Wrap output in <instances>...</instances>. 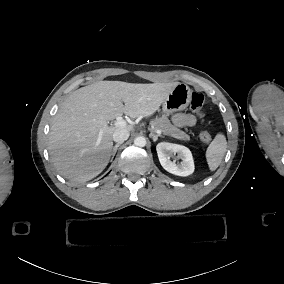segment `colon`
I'll use <instances>...</instances> for the list:
<instances>
[{"instance_id": "1", "label": "colon", "mask_w": 284, "mask_h": 284, "mask_svg": "<svg viewBox=\"0 0 284 284\" xmlns=\"http://www.w3.org/2000/svg\"><path fill=\"white\" fill-rule=\"evenodd\" d=\"M190 105L198 116H203L202 106L204 105V97L201 93L196 91L191 93ZM200 138L202 142H209L211 140V135L208 132H203L201 133Z\"/></svg>"}]
</instances>
